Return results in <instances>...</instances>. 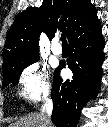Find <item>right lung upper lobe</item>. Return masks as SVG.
<instances>
[{
    "instance_id": "right-lung-upper-lobe-1",
    "label": "right lung upper lobe",
    "mask_w": 108,
    "mask_h": 127,
    "mask_svg": "<svg viewBox=\"0 0 108 127\" xmlns=\"http://www.w3.org/2000/svg\"><path fill=\"white\" fill-rule=\"evenodd\" d=\"M95 19L97 10L90 0H43L40 8H28L15 19L3 51V65L38 56L41 32L52 39L61 30L69 41Z\"/></svg>"
}]
</instances>
